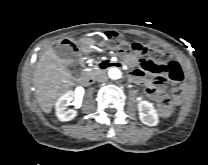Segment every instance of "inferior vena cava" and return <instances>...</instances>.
<instances>
[{
  "instance_id": "inferior-vena-cava-1",
  "label": "inferior vena cava",
  "mask_w": 208,
  "mask_h": 165,
  "mask_svg": "<svg viewBox=\"0 0 208 165\" xmlns=\"http://www.w3.org/2000/svg\"><path fill=\"white\" fill-rule=\"evenodd\" d=\"M95 79L98 81V82H105L107 81V75L103 72L99 73Z\"/></svg>"
}]
</instances>
